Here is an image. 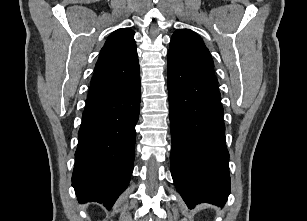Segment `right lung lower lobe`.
<instances>
[{"label": "right lung lower lobe", "mask_w": 307, "mask_h": 221, "mask_svg": "<svg viewBox=\"0 0 307 221\" xmlns=\"http://www.w3.org/2000/svg\"><path fill=\"white\" fill-rule=\"evenodd\" d=\"M140 78L121 91L87 101L78 132L72 186L80 203L111 209L133 170Z\"/></svg>", "instance_id": "98d812e1"}]
</instances>
